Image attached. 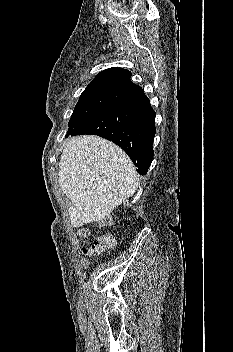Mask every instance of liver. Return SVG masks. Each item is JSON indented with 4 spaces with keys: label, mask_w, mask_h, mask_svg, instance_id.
I'll return each instance as SVG.
<instances>
[{
    "label": "liver",
    "mask_w": 233,
    "mask_h": 352,
    "mask_svg": "<svg viewBox=\"0 0 233 352\" xmlns=\"http://www.w3.org/2000/svg\"><path fill=\"white\" fill-rule=\"evenodd\" d=\"M58 176L72 203L69 216L75 227L109 216L138 188L136 168L127 154L97 136L75 137L66 144Z\"/></svg>",
    "instance_id": "liver-1"
}]
</instances>
